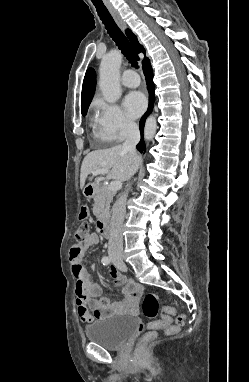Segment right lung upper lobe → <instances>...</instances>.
<instances>
[{
	"mask_svg": "<svg viewBox=\"0 0 249 382\" xmlns=\"http://www.w3.org/2000/svg\"><path fill=\"white\" fill-rule=\"evenodd\" d=\"M126 35L131 41L134 49L140 53L143 52L145 53L144 48L138 43L137 37L133 34L132 31L126 30ZM147 58L145 57L144 60ZM95 84H96V74L94 69L89 68L86 71L84 81H83V86H82V94H81V112L84 110H87L89 107V104L92 100V97L94 95L95 91Z\"/></svg>",
	"mask_w": 249,
	"mask_h": 382,
	"instance_id": "obj_1",
	"label": "right lung upper lobe"
}]
</instances>
